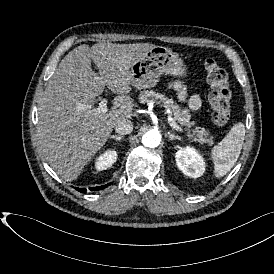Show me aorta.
Instances as JSON below:
<instances>
[{"label": "aorta", "instance_id": "obj_1", "mask_svg": "<svg viewBox=\"0 0 274 274\" xmlns=\"http://www.w3.org/2000/svg\"><path fill=\"white\" fill-rule=\"evenodd\" d=\"M161 142V135L157 130H149L142 136V143L146 147H158Z\"/></svg>", "mask_w": 274, "mask_h": 274}]
</instances>
